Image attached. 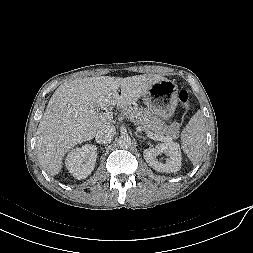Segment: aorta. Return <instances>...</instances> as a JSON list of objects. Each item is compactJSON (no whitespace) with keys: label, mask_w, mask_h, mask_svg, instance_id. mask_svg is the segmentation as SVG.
Masks as SVG:
<instances>
[{"label":"aorta","mask_w":253,"mask_h":253,"mask_svg":"<svg viewBox=\"0 0 253 253\" xmlns=\"http://www.w3.org/2000/svg\"><path fill=\"white\" fill-rule=\"evenodd\" d=\"M131 138L128 135H121L118 138V145L120 148H128L131 146Z\"/></svg>","instance_id":"obj_1"}]
</instances>
